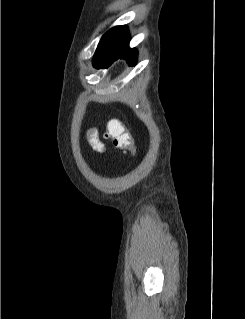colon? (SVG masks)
Segmentation results:
<instances>
[{
	"mask_svg": "<svg viewBox=\"0 0 245 319\" xmlns=\"http://www.w3.org/2000/svg\"><path fill=\"white\" fill-rule=\"evenodd\" d=\"M105 137L112 141L115 149L134 152L135 145L129 130L119 121H109L105 126Z\"/></svg>",
	"mask_w": 245,
	"mask_h": 319,
	"instance_id": "colon-1",
	"label": "colon"
}]
</instances>
